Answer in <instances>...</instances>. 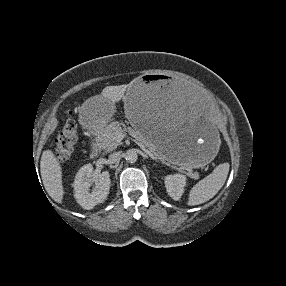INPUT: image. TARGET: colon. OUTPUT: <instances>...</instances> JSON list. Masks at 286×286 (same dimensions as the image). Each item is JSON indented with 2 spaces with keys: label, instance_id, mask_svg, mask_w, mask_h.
Instances as JSON below:
<instances>
[{
  "label": "colon",
  "instance_id": "colon-1",
  "mask_svg": "<svg viewBox=\"0 0 286 286\" xmlns=\"http://www.w3.org/2000/svg\"><path fill=\"white\" fill-rule=\"evenodd\" d=\"M77 139L76 124L71 115L67 114L66 120L55 139V155L58 160L64 161L73 154Z\"/></svg>",
  "mask_w": 286,
  "mask_h": 286
}]
</instances>
